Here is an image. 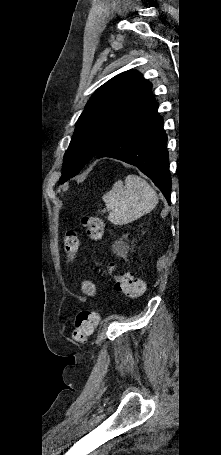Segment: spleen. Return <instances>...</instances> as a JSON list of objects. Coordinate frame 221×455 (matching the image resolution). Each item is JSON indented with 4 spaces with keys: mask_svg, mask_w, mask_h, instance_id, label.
I'll return each mask as SVG.
<instances>
[{
    "mask_svg": "<svg viewBox=\"0 0 221 455\" xmlns=\"http://www.w3.org/2000/svg\"><path fill=\"white\" fill-rule=\"evenodd\" d=\"M108 219L115 225H125L153 210L158 197L153 188L137 175H127L125 182H115L103 195Z\"/></svg>",
    "mask_w": 221,
    "mask_h": 455,
    "instance_id": "1",
    "label": "spleen"
}]
</instances>
